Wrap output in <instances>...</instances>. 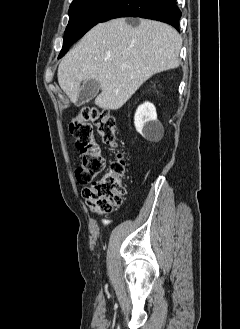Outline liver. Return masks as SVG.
<instances>
[{"label": "liver", "mask_w": 240, "mask_h": 329, "mask_svg": "<svg viewBox=\"0 0 240 329\" xmlns=\"http://www.w3.org/2000/svg\"><path fill=\"white\" fill-rule=\"evenodd\" d=\"M182 38L171 26L140 19L133 27L119 18L97 24L70 50L58 67L61 89L76 103L80 85L99 82L95 104L104 110L122 107L153 75L179 66Z\"/></svg>", "instance_id": "1"}]
</instances>
